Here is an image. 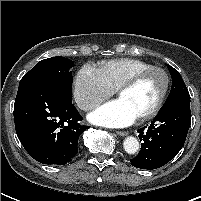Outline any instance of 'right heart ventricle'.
Wrapping results in <instances>:
<instances>
[{
  "label": "right heart ventricle",
  "mask_w": 201,
  "mask_h": 201,
  "mask_svg": "<svg viewBox=\"0 0 201 201\" xmlns=\"http://www.w3.org/2000/svg\"><path fill=\"white\" fill-rule=\"evenodd\" d=\"M150 66L152 65L138 59L120 58L101 63L98 70L106 84L116 90L128 77Z\"/></svg>",
  "instance_id": "e07e8e85"
}]
</instances>
